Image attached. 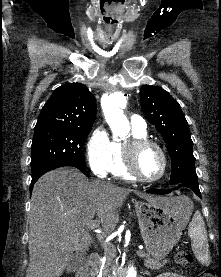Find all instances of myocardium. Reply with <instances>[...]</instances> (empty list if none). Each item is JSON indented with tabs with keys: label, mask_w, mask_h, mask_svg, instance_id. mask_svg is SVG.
<instances>
[{
	"label": "myocardium",
	"mask_w": 221,
	"mask_h": 277,
	"mask_svg": "<svg viewBox=\"0 0 221 277\" xmlns=\"http://www.w3.org/2000/svg\"><path fill=\"white\" fill-rule=\"evenodd\" d=\"M153 147L155 148L162 160V170L160 174L155 178H146L138 170L137 159L139 154L146 148ZM124 165L126 171L134 179L144 182V183H156L160 181L166 174L168 167V160L165 150L157 142L147 139V138H133L126 144H124Z\"/></svg>",
	"instance_id": "f54148a6"
}]
</instances>
